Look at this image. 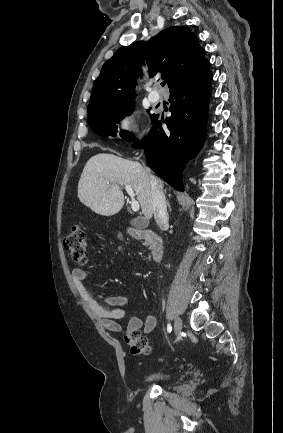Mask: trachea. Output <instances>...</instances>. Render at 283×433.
Segmentation results:
<instances>
[{"instance_id": "trachea-1", "label": "trachea", "mask_w": 283, "mask_h": 433, "mask_svg": "<svg viewBox=\"0 0 283 433\" xmlns=\"http://www.w3.org/2000/svg\"><path fill=\"white\" fill-rule=\"evenodd\" d=\"M161 86L164 87V86H165V82H162V83H161Z\"/></svg>"}]
</instances>
